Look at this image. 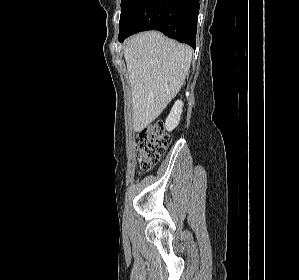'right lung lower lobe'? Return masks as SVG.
<instances>
[{"mask_svg": "<svg viewBox=\"0 0 299 280\" xmlns=\"http://www.w3.org/2000/svg\"><path fill=\"white\" fill-rule=\"evenodd\" d=\"M199 0H125L121 5L118 40L158 30L195 48Z\"/></svg>", "mask_w": 299, "mask_h": 280, "instance_id": "1", "label": "right lung lower lobe"}]
</instances>
